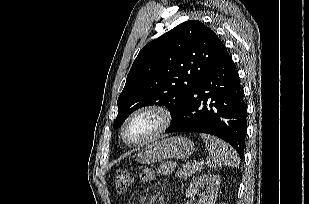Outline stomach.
Masks as SVG:
<instances>
[{"instance_id":"stomach-1","label":"stomach","mask_w":309,"mask_h":204,"mask_svg":"<svg viewBox=\"0 0 309 204\" xmlns=\"http://www.w3.org/2000/svg\"><path fill=\"white\" fill-rule=\"evenodd\" d=\"M195 151L194 143L183 136L152 142L139 151L136 160L150 164L164 159H186Z\"/></svg>"}]
</instances>
